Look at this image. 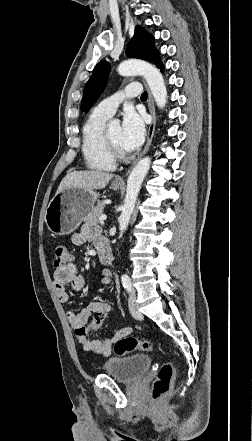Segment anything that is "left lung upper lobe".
<instances>
[{"label": "left lung upper lobe", "instance_id": "obj_1", "mask_svg": "<svg viewBox=\"0 0 252 441\" xmlns=\"http://www.w3.org/2000/svg\"><path fill=\"white\" fill-rule=\"evenodd\" d=\"M132 58H139L151 63L159 61V52L154 46V37L141 26L135 27L134 36L126 50ZM110 64L107 61L99 62L85 85L81 102V111L87 112L96 102L106 87Z\"/></svg>", "mask_w": 252, "mask_h": 441}]
</instances>
